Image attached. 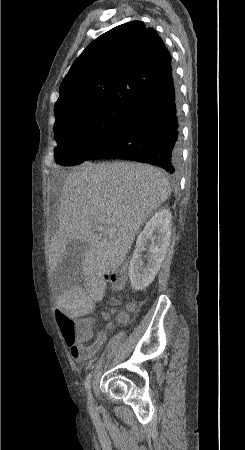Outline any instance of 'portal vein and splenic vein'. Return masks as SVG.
Wrapping results in <instances>:
<instances>
[{
    "instance_id": "18ae733b",
    "label": "portal vein and splenic vein",
    "mask_w": 245,
    "mask_h": 450,
    "mask_svg": "<svg viewBox=\"0 0 245 450\" xmlns=\"http://www.w3.org/2000/svg\"><path fill=\"white\" fill-rule=\"evenodd\" d=\"M94 229L98 232H104L105 234H109V235H113L117 231L115 228H109V227L105 228L101 225H94Z\"/></svg>"
}]
</instances>
